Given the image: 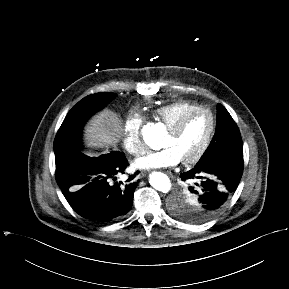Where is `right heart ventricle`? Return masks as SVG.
<instances>
[{"label": "right heart ventricle", "mask_w": 289, "mask_h": 289, "mask_svg": "<svg viewBox=\"0 0 289 289\" xmlns=\"http://www.w3.org/2000/svg\"><path fill=\"white\" fill-rule=\"evenodd\" d=\"M197 104H194L186 100L174 101L162 106L157 107L152 111L153 117L163 123L165 127L169 128L173 125L184 113L189 110L198 108Z\"/></svg>", "instance_id": "1"}]
</instances>
